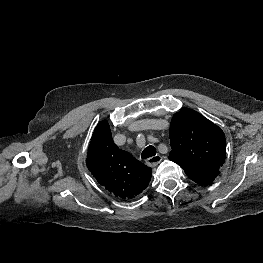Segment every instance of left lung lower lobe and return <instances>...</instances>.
Returning <instances> with one entry per match:
<instances>
[{
    "label": "left lung lower lobe",
    "mask_w": 263,
    "mask_h": 263,
    "mask_svg": "<svg viewBox=\"0 0 263 263\" xmlns=\"http://www.w3.org/2000/svg\"><path fill=\"white\" fill-rule=\"evenodd\" d=\"M189 178L202 185H208L215 179V177L211 175H190Z\"/></svg>",
    "instance_id": "left-lung-lower-lobe-1"
}]
</instances>
